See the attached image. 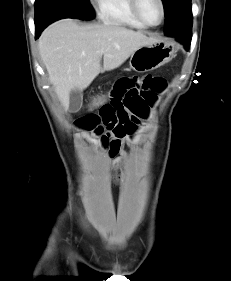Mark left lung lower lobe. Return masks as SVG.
Segmentation results:
<instances>
[{"instance_id": "left-lung-lower-lobe-1", "label": "left lung lower lobe", "mask_w": 231, "mask_h": 281, "mask_svg": "<svg viewBox=\"0 0 231 281\" xmlns=\"http://www.w3.org/2000/svg\"><path fill=\"white\" fill-rule=\"evenodd\" d=\"M171 35H174L181 43H183L186 50H189L192 38V25L173 30Z\"/></svg>"}]
</instances>
